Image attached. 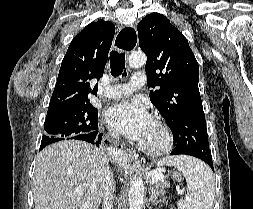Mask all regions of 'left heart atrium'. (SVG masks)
Listing matches in <instances>:
<instances>
[{"label": "left heart atrium", "instance_id": "1", "mask_svg": "<svg viewBox=\"0 0 253 209\" xmlns=\"http://www.w3.org/2000/svg\"><path fill=\"white\" fill-rule=\"evenodd\" d=\"M105 118L119 133L136 142L145 139L154 123L151 112L139 100L114 105Z\"/></svg>", "mask_w": 253, "mask_h": 209}]
</instances>
